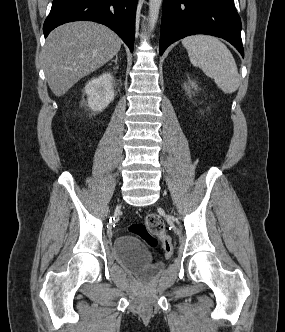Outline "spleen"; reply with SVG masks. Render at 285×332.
<instances>
[{"label": "spleen", "mask_w": 285, "mask_h": 332, "mask_svg": "<svg viewBox=\"0 0 285 332\" xmlns=\"http://www.w3.org/2000/svg\"><path fill=\"white\" fill-rule=\"evenodd\" d=\"M190 62L199 67L224 92L231 94L239 87L235 60L224 43L209 35H192L182 40Z\"/></svg>", "instance_id": "spleen-1"}]
</instances>
